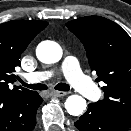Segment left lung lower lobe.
<instances>
[{"mask_svg": "<svg viewBox=\"0 0 131 131\" xmlns=\"http://www.w3.org/2000/svg\"><path fill=\"white\" fill-rule=\"evenodd\" d=\"M74 125L79 131H128L130 128L122 126L111 115L89 104L88 110Z\"/></svg>", "mask_w": 131, "mask_h": 131, "instance_id": "left-lung-lower-lobe-1", "label": "left lung lower lobe"}]
</instances>
